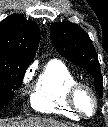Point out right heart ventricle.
<instances>
[{
  "instance_id": "obj_1",
  "label": "right heart ventricle",
  "mask_w": 108,
  "mask_h": 127,
  "mask_svg": "<svg viewBox=\"0 0 108 127\" xmlns=\"http://www.w3.org/2000/svg\"><path fill=\"white\" fill-rule=\"evenodd\" d=\"M75 82V76L66 64L59 60L48 62L33 86L31 107L45 114L76 118L78 115L68 103V91Z\"/></svg>"
}]
</instances>
